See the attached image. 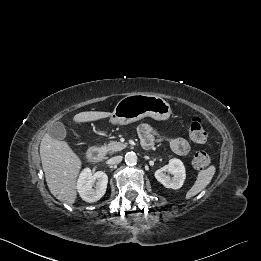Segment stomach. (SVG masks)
I'll use <instances>...</instances> for the list:
<instances>
[{"instance_id":"obj_1","label":"stomach","mask_w":261,"mask_h":261,"mask_svg":"<svg viewBox=\"0 0 261 261\" xmlns=\"http://www.w3.org/2000/svg\"><path fill=\"white\" fill-rule=\"evenodd\" d=\"M172 111L162 97L146 93H132L122 98L115 106L111 121L126 125L144 117L167 120Z\"/></svg>"}]
</instances>
